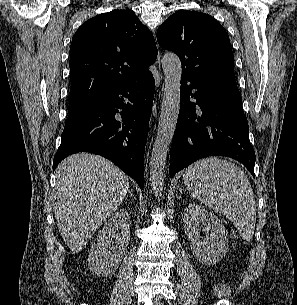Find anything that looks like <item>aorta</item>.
I'll list each match as a JSON object with an SVG mask.
<instances>
[{
  "instance_id": "762f6f07",
  "label": "aorta",
  "mask_w": 297,
  "mask_h": 305,
  "mask_svg": "<svg viewBox=\"0 0 297 305\" xmlns=\"http://www.w3.org/2000/svg\"><path fill=\"white\" fill-rule=\"evenodd\" d=\"M165 76L164 96L158 123L157 135L150 158V185L155 195H161L164 185V167L175 132L180 109L182 66L178 56L168 52L163 56Z\"/></svg>"
}]
</instances>
